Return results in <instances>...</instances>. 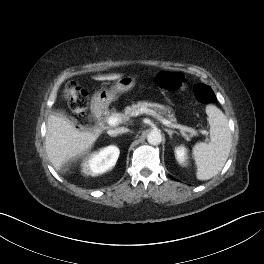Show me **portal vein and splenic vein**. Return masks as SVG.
Returning <instances> with one entry per match:
<instances>
[{
  "label": "portal vein and splenic vein",
  "instance_id": "1",
  "mask_svg": "<svg viewBox=\"0 0 264 264\" xmlns=\"http://www.w3.org/2000/svg\"><path fill=\"white\" fill-rule=\"evenodd\" d=\"M148 113V114H151L153 115L154 117H156L163 125L167 126V127H171V128H175V129H179L180 132L182 134H184L185 132L187 133H190L191 135H197V131L194 130L193 128H190V127H187V126H183V125H180V124H173L171 123L169 120L163 118L162 116H160L159 114L155 113L154 111L152 110H149V109H141L139 110L138 112H136V115H138L139 113ZM121 118L120 117H116V116H110L108 119H107V123L110 125V126H116L119 122H120ZM202 134H207L206 131L202 130L201 131Z\"/></svg>",
  "mask_w": 264,
  "mask_h": 264
}]
</instances>
